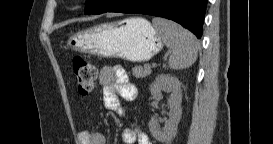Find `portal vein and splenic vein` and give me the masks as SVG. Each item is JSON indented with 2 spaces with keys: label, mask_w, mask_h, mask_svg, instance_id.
Returning <instances> with one entry per match:
<instances>
[{
  "label": "portal vein and splenic vein",
  "mask_w": 273,
  "mask_h": 144,
  "mask_svg": "<svg viewBox=\"0 0 273 144\" xmlns=\"http://www.w3.org/2000/svg\"><path fill=\"white\" fill-rule=\"evenodd\" d=\"M145 67L151 68V66L149 64L145 65Z\"/></svg>",
  "instance_id": "1"
}]
</instances>
